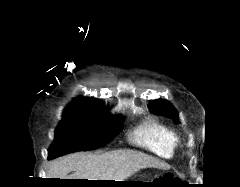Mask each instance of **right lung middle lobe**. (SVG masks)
I'll list each match as a JSON object with an SVG mask.
<instances>
[{"label": "right lung middle lobe", "instance_id": "right-lung-middle-lobe-1", "mask_svg": "<svg viewBox=\"0 0 240 187\" xmlns=\"http://www.w3.org/2000/svg\"><path fill=\"white\" fill-rule=\"evenodd\" d=\"M121 121L120 116L115 118L108 113L64 110L48 150V159L105 145L121 131Z\"/></svg>", "mask_w": 240, "mask_h": 187}]
</instances>
